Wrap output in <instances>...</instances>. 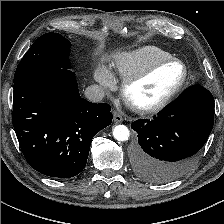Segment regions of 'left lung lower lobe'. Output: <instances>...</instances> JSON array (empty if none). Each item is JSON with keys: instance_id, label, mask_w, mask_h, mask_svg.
Returning <instances> with one entry per match:
<instances>
[{"instance_id": "0a47b994", "label": "left lung lower lobe", "mask_w": 224, "mask_h": 224, "mask_svg": "<svg viewBox=\"0 0 224 224\" xmlns=\"http://www.w3.org/2000/svg\"><path fill=\"white\" fill-rule=\"evenodd\" d=\"M214 123V98L200 85L186 89L152 120H137L133 153L137 176L152 183H166L185 174L195 163Z\"/></svg>"}]
</instances>
